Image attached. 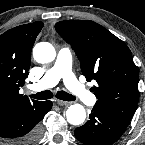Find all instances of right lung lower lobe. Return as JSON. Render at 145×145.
<instances>
[{
  "label": "right lung lower lobe",
  "mask_w": 145,
  "mask_h": 145,
  "mask_svg": "<svg viewBox=\"0 0 145 145\" xmlns=\"http://www.w3.org/2000/svg\"><path fill=\"white\" fill-rule=\"evenodd\" d=\"M52 108L51 101L0 111V139L9 145H35L41 136L40 121Z\"/></svg>",
  "instance_id": "98d812e1"
}]
</instances>
